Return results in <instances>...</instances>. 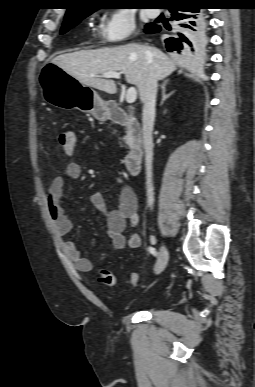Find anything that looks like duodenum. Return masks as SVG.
I'll use <instances>...</instances> for the list:
<instances>
[{
  "mask_svg": "<svg viewBox=\"0 0 255 387\" xmlns=\"http://www.w3.org/2000/svg\"><path fill=\"white\" fill-rule=\"evenodd\" d=\"M107 116L113 122L127 127L131 139V148L125 156L124 167L128 174L137 175L143 160L142 131L139 121L117 105H111L108 108Z\"/></svg>",
  "mask_w": 255,
  "mask_h": 387,
  "instance_id": "1",
  "label": "duodenum"
}]
</instances>
